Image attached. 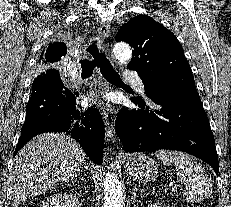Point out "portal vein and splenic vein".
Instances as JSON below:
<instances>
[{"label":"portal vein and splenic vein","instance_id":"1","mask_svg":"<svg viewBox=\"0 0 231 207\" xmlns=\"http://www.w3.org/2000/svg\"><path fill=\"white\" fill-rule=\"evenodd\" d=\"M176 189V187L175 186H172V190L174 191Z\"/></svg>","mask_w":231,"mask_h":207}]
</instances>
